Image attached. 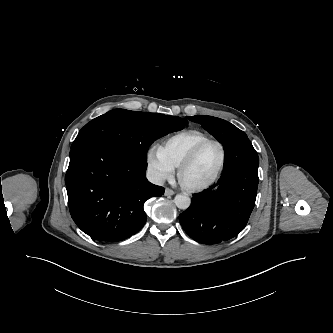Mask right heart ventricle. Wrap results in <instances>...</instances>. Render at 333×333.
<instances>
[{
	"mask_svg": "<svg viewBox=\"0 0 333 333\" xmlns=\"http://www.w3.org/2000/svg\"><path fill=\"white\" fill-rule=\"evenodd\" d=\"M206 139H209V137L201 131L186 130L165 139L159 149L174 167H178L187 154L198 143Z\"/></svg>",
	"mask_w": 333,
	"mask_h": 333,
	"instance_id": "e07e8e85",
	"label": "right heart ventricle"
}]
</instances>
